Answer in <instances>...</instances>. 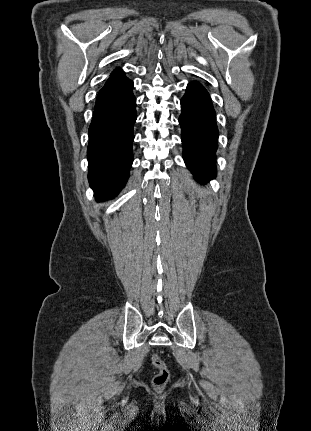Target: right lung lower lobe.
Returning a JSON list of instances; mask_svg holds the SVG:
<instances>
[{"instance_id":"98d812e1","label":"right lung lower lobe","mask_w":311,"mask_h":431,"mask_svg":"<svg viewBox=\"0 0 311 431\" xmlns=\"http://www.w3.org/2000/svg\"><path fill=\"white\" fill-rule=\"evenodd\" d=\"M133 82L115 71L100 90L89 127L88 179L97 200L115 196L125 185L133 162L136 98Z\"/></svg>"}]
</instances>
